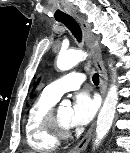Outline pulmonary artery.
Segmentation results:
<instances>
[{
    "mask_svg": "<svg viewBox=\"0 0 130 153\" xmlns=\"http://www.w3.org/2000/svg\"><path fill=\"white\" fill-rule=\"evenodd\" d=\"M84 80L82 73H69L47 85L45 91L58 100L65 92L78 89Z\"/></svg>",
    "mask_w": 130,
    "mask_h": 153,
    "instance_id": "obj_1",
    "label": "pulmonary artery"
}]
</instances>
